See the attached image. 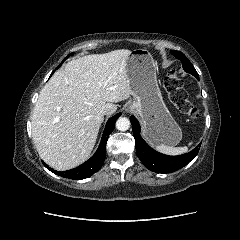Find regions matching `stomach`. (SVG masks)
Here are the masks:
<instances>
[{"instance_id": "0dacf381", "label": "stomach", "mask_w": 240, "mask_h": 240, "mask_svg": "<svg viewBox=\"0 0 240 240\" xmlns=\"http://www.w3.org/2000/svg\"><path fill=\"white\" fill-rule=\"evenodd\" d=\"M126 69L134 97L129 104L141 118L145 139L153 145H177L182 139V131L163 101L156 64L150 52L140 48L131 51Z\"/></svg>"}]
</instances>
